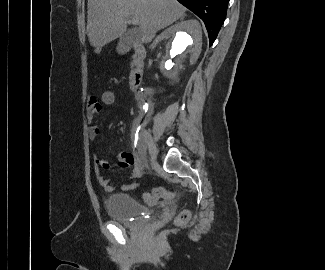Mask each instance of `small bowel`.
<instances>
[{
	"label": "small bowel",
	"mask_w": 325,
	"mask_h": 270,
	"mask_svg": "<svg viewBox=\"0 0 325 270\" xmlns=\"http://www.w3.org/2000/svg\"><path fill=\"white\" fill-rule=\"evenodd\" d=\"M101 96H104L103 93ZM115 96V95H113ZM114 103H101L96 97H90L87 102V120L90 123L89 127V137L95 139L100 135V128L97 125L92 124L93 117L101 111L103 105L110 106ZM95 163V170L98 174L97 179L100 185L107 191L112 192L115 190V187L110 183L109 178L100 173L101 170H111L113 165L108 159L102 158L98 155L93 157ZM117 167L120 169H127L132 167L135 163V157L130 152H121L116 157ZM142 172L138 167H135L132 171L131 178L137 179L141 176ZM137 188L135 182L124 183L119 186L121 191H131Z\"/></svg>",
	"instance_id": "c3829d8e"
}]
</instances>
